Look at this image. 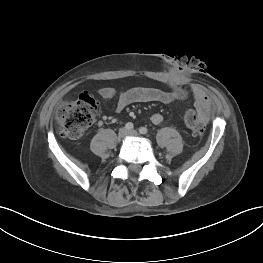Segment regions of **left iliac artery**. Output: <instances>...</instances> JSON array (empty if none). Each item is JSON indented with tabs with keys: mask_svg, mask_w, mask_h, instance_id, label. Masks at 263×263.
<instances>
[{
	"mask_svg": "<svg viewBox=\"0 0 263 263\" xmlns=\"http://www.w3.org/2000/svg\"><path fill=\"white\" fill-rule=\"evenodd\" d=\"M139 132H140L141 134H147V133H148V129H147L146 127H141V128L139 129Z\"/></svg>",
	"mask_w": 263,
	"mask_h": 263,
	"instance_id": "obj_1",
	"label": "left iliac artery"
}]
</instances>
